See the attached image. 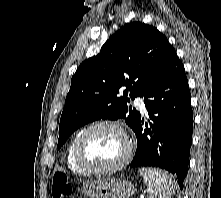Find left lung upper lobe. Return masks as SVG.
<instances>
[{"instance_id":"obj_1","label":"left lung upper lobe","mask_w":221,"mask_h":198,"mask_svg":"<svg viewBox=\"0 0 221 198\" xmlns=\"http://www.w3.org/2000/svg\"><path fill=\"white\" fill-rule=\"evenodd\" d=\"M173 53L155 27L141 22L121 27L72 77L60 119L58 149L75 130L98 119L121 118L134 129L140 113L127 103L145 96ZM120 89H125L123 96Z\"/></svg>"}]
</instances>
